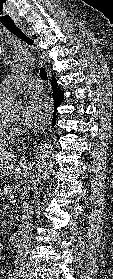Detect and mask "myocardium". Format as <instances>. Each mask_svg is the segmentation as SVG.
I'll use <instances>...</instances> for the list:
<instances>
[{
  "label": "myocardium",
  "instance_id": "f54148a6",
  "mask_svg": "<svg viewBox=\"0 0 113 279\" xmlns=\"http://www.w3.org/2000/svg\"><path fill=\"white\" fill-rule=\"evenodd\" d=\"M3 123L9 130H12V131L17 130L18 126H19L18 124H15L14 122H12L7 114H4Z\"/></svg>",
  "mask_w": 113,
  "mask_h": 279
}]
</instances>
